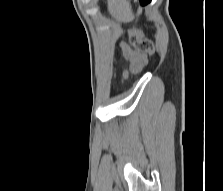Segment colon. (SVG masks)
<instances>
[{"mask_svg": "<svg viewBox=\"0 0 223 191\" xmlns=\"http://www.w3.org/2000/svg\"><path fill=\"white\" fill-rule=\"evenodd\" d=\"M131 44L135 51L140 54L149 55L154 51L153 43L138 31L131 35Z\"/></svg>", "mask_w": 223, "mask_h": 191, "instance_id": "5ec220e1", "label": "colon"}]
</instances>
